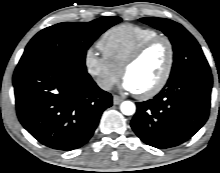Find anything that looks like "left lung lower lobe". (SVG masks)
I'll return each mask as SVG.
<instances>
[{
  "instance_id": "0a47b994",
  "label": "left lung lower lobe",
  "mask_w": 220,
  "mask_h": 173,
  "mask_svg": "<svg viewBox=\"0 0 220 173\" xmlns=\"http://www.w3.org/2000/svg\"><path fill=\"white\" fill-rule=\"evenodd\" d=\"M212 82L211 73H204L167 83L153 99L136 103L133 131L144 143L159 149L184 143L208 118Z\"/></svg>"
}]
</instances>
